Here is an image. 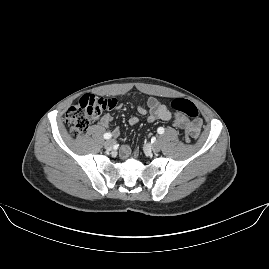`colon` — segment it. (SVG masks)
Returning <instances> with one entry per match:
<instances>
[{
	"label": "colon",
	"mask_w": 269,
	"mask_h": 269,
	"mask_svg": "<svg viewBox=\"0 0 269 269\" xmlns=\"http://www.w3.org/2000/svg\"><path fill=\"white\" fill-rule=\"evenodd\" d=\"M118 99L112 96L108 99L97 98L90 93L80 97L78 103L71 106L66 113V123L75 135L84 134L101 113L107 114L110 107L117 104ZM171 110L186 115L190 120L198 117L196 105L186 98H174L170 102ZM182 136V135H181ZM185 144L189 145L193 139L191 136L184 134Z\"/></svg>",
	"instance_id": "obj_1"
}]
</instances>
